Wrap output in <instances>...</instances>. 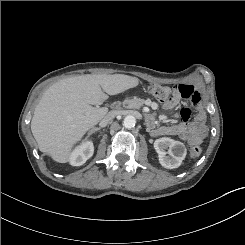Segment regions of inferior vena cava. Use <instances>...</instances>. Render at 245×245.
Masks as SVG:
<instances>
[{
	"mask_svg": "<svg viewBox=\"0 0 245 245\" xmlns=\"http://www.w3.org/2000/svg\"><path fill=\"white\" fill-rule=\"evenodd\" d=\"M115 113H108L100 122V126H106L112 119H114Z\"/></svg>",
	"mask_w": 245,
	"mask_h": 245,
	"instance_id": "602c4592",
	"label": "inferior vena cava"
}]
</instances>
